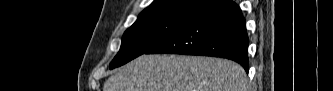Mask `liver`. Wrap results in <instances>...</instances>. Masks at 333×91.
Returning a JSON list of instances; mask_svg holds the SVG:
<instances>
[{"label":"liver","mask_w":333,"mask_h":91,"mask_svg":"<svg viewBox=\"0 0 333 91\" xmlns=\"http://www.w3.org/2000/svg\"><path fill=\"white\" fill-rule=\"evenodd\" d=\"M245 70L220 58L142 55L108 78L104 91H248Z\"/></svg>","instance_id":"obj_1"}]
</instances>
